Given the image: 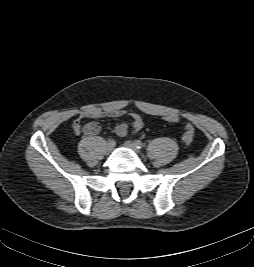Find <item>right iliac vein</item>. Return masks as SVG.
<instances>
[{"instance_id": "1", "label": "right iliac vein", "mask_w": 254, "mask_h": 267, "mask_svg": "<svg viewBox=\"0 0 254 267\" xmlns=\"http://www.w3.org/2000/svg\"><path fill=\"white\" fill-rule=\"evenodd\" d=\"M114 149V146L113 145H107V147H106V150H105V152L107 153V154H109V153H111L112 152V150Z\"/></svg>"}]
</instances>
